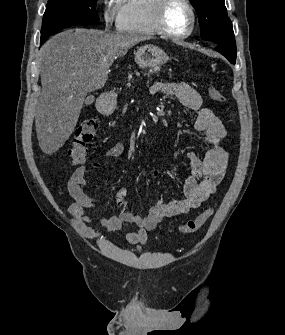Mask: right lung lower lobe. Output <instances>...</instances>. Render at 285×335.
Segmentation results:
<instances>
[{
    "instance_id": "right-lung-lower-lobe-1",
    "label": "right lung lower lobe",
    "mask_w": 285,
    "mask_h": 335,
    "mask_svg": "<svg viewBox=\"0 0 285 335\" xmlns=\"http://www.w3.org/2000/svg\"><path fill=\"white\" fill-rule=\"evenodd\" d=\"M43 42H44V41H42V40H41V41H40V44L42 45V44H43Z\"/></svg>"
}]
</instances>
